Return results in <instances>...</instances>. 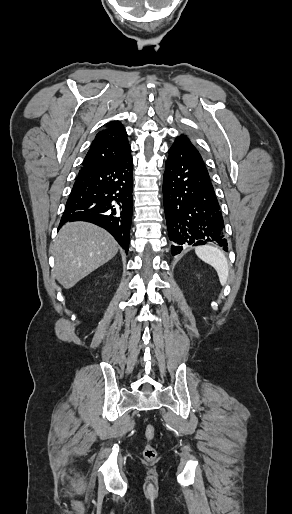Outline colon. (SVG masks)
<instances>
[{
	"label": "colon",
	"instance_id": "5ec220e1",
	"mask_svg": "<svg viewBox=\"0 0 292 514\" xmlns=\"http://www.w3.org/2000/svg\"><path fill=\"white\" fill-rule=\"evenodd\" d=\"M145 445L143 448V457L147 461H153L157 458V450L153 444L156 437V428L152 423H147L144 428Z\"/></svg>",
	"mask_w": 292,
	"mask_h": 514
}]
</instances>
